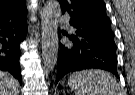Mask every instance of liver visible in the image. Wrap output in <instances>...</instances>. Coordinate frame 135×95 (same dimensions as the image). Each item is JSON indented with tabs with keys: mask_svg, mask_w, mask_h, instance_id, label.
Returning a JSON list of instances; mask_svg holds the SVG:
<instances>
[{
	"mask_svg": "<svg viewBox=\"0 0 135 95\" xmlns=\"http://www.w3.org/2000/svg\"><path fill=\"white\" fill-rule=\"evenodd\" d=\"M19 82L8 72L0 70V95H18Z\"/></svg>",
	"mask_w": 135,
	"mask_h": 95,
	"instance_id": "liver-1",
	"label": "liver"
}]
</instances>
